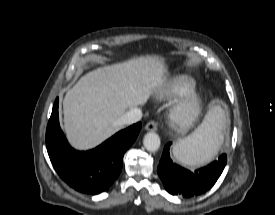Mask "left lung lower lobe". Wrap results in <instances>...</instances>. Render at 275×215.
<instances>
[{
    "label": "left lung lower lobe",
    "instance_id": "obj_1",
    "mask_svg": "<svg viewBox=\"0 0 275 215\" xmlns=\"http://www.w3.org/2000/svg\"><path fill=\"white\" fill-rule=\"evenodd\" d=\"M170 144L165 146L157 168V173L166 191L185 198L198 196L208 191L220 177L226 165V155H221L218 160L207 166L190 171L172 162L169 156Z\"/></svg>",
    "mask_w": 275,
    "mask_h": 215
}]
</instances>
